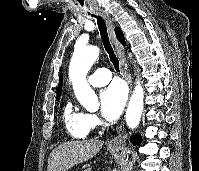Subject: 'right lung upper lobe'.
I'll return each mask as SVG.
<instances>
[{"mask_svg": "<svg viewBox=\"0 0 199 171\" xmlns=\"http://www.w3.org/2000/svg\"><path fill=\"white\" fill-rule=\"evenodd\" d=\"M115 32H116V36H117L118 40L124 45L125 40H124V35H123L121 29L116 27ZM62 83H63V76H62V73H61L59 84H58V89H57V97H59L61 95Z\"/></svg>", "mask_w": 199, "mask_h": 171, "instance_id": "obj_1", "label": "right lung upper lobe"}]
</instances>
